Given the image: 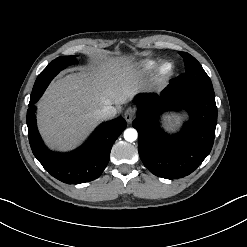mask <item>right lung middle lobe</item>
Returning <instances> with one entry per match:
<instances>
[{
	"instance_id": "right-lung-middle-lobe-1",
	"label": "right lung middle lobe",
	"mask_w": 247,
	"mask_h": 247,
	"mask_svg": "<svg viewBox=\"0 0 247 247\" xmlns=\"http://www.w3.org/2000/svg\"><path fill=\"white\" fill-rule=\"evenodd\" d=\"M76 63L74 56L58 57L53 60L48 66L38 75L32 93L31 99H35L42 94L51 80L65 67Z\"/></svg>"
}]
</instances>
